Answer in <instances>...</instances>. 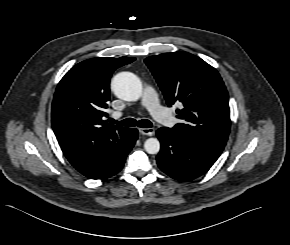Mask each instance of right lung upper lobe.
I'll return each instance as SVG.
<instances>
[{
    "instance_id": "right-lung-upper-lobe-1",
    "label": "right lung upper lobe",
    "mask_w": 290,
    "mask_h": 245,
    "mask_svg": "<svg viewBox=\"0 0 290 245\" xmlns=\"http://www.w3.org/2000/svg\"><path fill=\"white\" fill-rule=\"evenodd\" d=\"M135 58H93L72 67L57 86L52 127L69 162L88 178L110 169L127 151L132 128L108 124L114 70Z\"/></svg>"
}]
</instances>
